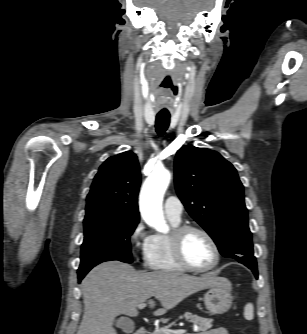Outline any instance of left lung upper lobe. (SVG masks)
Wrapping results in <instances>:
<instances>
[{"label":"left lung upper lobe","mask_w":307,"mask_h":334,"mask_svg":"<svg viewBox=\"0 0 307 334\" xmlns=\"http://www.w3.org/2000/svg\"><path fill=\"white\" fill-rule=\"evenodd\" d=\"M174 167L179 198L220 253L256 267L243 185L233 165L216 151L185 146Z\"/></svg>","instance_id":"left-lung-upper-lobe-1"}]
</instances>
